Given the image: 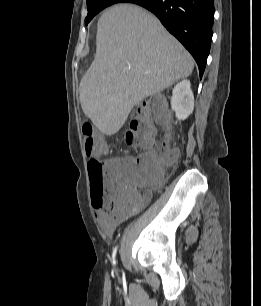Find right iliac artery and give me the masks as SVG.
Masks as SVG:
<instances>
[{"mask_svg":"<svg viewBox=\"0 0 261 306\" xmlns=\"http://www.w3.org/2000/svg\"><path fill=\"white\" fill-rule=\"evenodd\" d=\"M117 247L113 251V262L115 263V255H116Z\"/></svg>","mask_w":261,"mask_h":306,"instance_id":"82829eb1","label":"right iliac artery"}]
</instances>
